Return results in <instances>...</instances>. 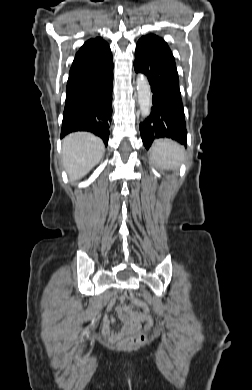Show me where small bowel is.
Returning <instances> with one entry per match:
<instances>
[{"label": "small bowel", "mask_w": 252, "mask_h": 390, "mask_svg": "<svg viewBox=\"0 0 252 390\" xmlns=\"http://www.w3.org/2000/svg\"><path fill=\"white\" fill-rule=\"evenodd\" d=\"M122 296L114 295L109 303L108 309L116 305L118 318L122 323L120 329H114V319L107 316L104 321V331L112 336L118 337L136 332L140 329L143 321L151 320L147 307L137 302V305L143 309V313L134 311L130 306L125 305Z\"/></svg>", "instance_id": "c3829d8e"}]
</instances>
